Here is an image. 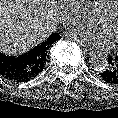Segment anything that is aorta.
<instances>
[{
	"instance_id": "aorta-1",
	"label": "aorta",
	"mask_w": 118,
	"mask_h": 118,
	"mask_svg": "<svg viewBox=\"0 0 118 118\" xmlns=\"http://www.w3.org/2000/svg\"><path fill=\"white\" fill-rule=\"evenodd\" d=\"M93 4L92 3H86L82 7V15L86 17H90L93 14ZM90 65L91 68L95 71H102L104 70L108 65L107 58L102 54H94L90 59Z\"/></svg>"
}]
</instances>
